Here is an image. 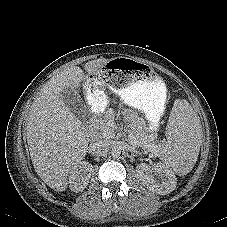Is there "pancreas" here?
<instances>
[{
  "label": "pancreas",
  "mask_w": 227,
  "mask_h": 227,
  "mask_svg": "<svg viewBox=\"0 0 227 227\" xmlns=\"http://www.w3.org/2000/svg\"><path fill=\"white\" fill-rule=\"evenodd\" d=\"M114 115L112 112H106L105 115L100 118L99 124L97 126L98 135L105 139H112L115 135V129H114ZM129 141L132 145L142 147L143 150L146 151H155V146L153 143H151V140L136 130V128H133L132 131L129 134Z\"/></svg>",
  "instance_id": "pancreas-1"
}]
</instances>
